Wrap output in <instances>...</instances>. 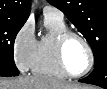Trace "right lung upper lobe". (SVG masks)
<instances>
[{
	"instance_id": "1",
	"label": "right lung upper lobe",
	"mask_w": 107,
	"mask_h": 89,
	"mask_svg": "<svg viewBox=\"0 0 107 89\" xmlns=\"http://www.w3.org/2000/svg\"><path fill=\"white\" fill-rule=\"evenodd\" d=\"M31 0H0V18L26 22Z\"/></svg>"
}]
</instances>
